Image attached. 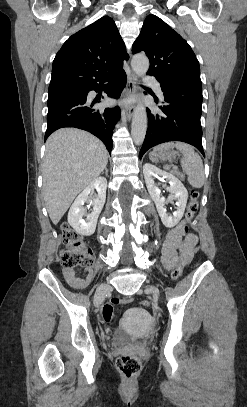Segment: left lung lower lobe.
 I'll list each match as a JSON object with an SVG mask.
<instances>
[{"label":"left lung lower lobe","instance_id":"1","mask_svg":"<svg viewBox=\"0 0 247 407\" xmlns=\"http://www.w3.org/2000/svg\"><path fill=\"white\" fill-rule=\"evenodd\" d=\"M160 86L165 104L159 106V112L147 109L149 124L139 153L140 159L151 147L168 141L189 143L205 157L200 123L202 90L174 84Z\"/></svg>","mask_w":247,"mask_h":407}]
</instances>
